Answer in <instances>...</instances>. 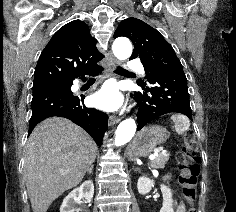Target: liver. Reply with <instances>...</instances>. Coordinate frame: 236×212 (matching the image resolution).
<instances>
[{"label":"liver","instance_id":"obj_1","mask_svg":"<svg viewBox=\"0 0 236 212\" xmlns=\"http://www.w3.org/2000/svg\"><path fill=\"white\" fill-rule=\"evenodd\" d=\"M97 145L68 119L39 123L26 144L24 178L33 212H46L66 190L76 187L94 162Z\"/></svg>","mask_w":236,"mask_h":212}]
</instances>
